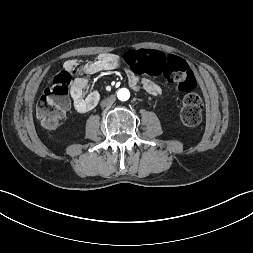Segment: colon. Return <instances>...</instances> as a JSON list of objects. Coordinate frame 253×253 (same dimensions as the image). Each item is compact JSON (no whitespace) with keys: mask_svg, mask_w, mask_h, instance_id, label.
<instances>
[{"mask_svg":"<svg viewBox=\"0 0 253 253\" xmlns=\"http://www.w3.org/2000/svg\"><path fill=\"white\" fill-rule=\"evenodd\" d=\"M123 64L129 70H134L144 76L167 78L186 92L180 118L185 126L192 127L202 119L203 101L196 88V79L187 62L176 55L169 54L161 48H132L123 57ZM72 73L61 71L56 74L36 105V114L41 124L46 128H54L69 108V88L73 81Z\"/></svg>","mask_w":253,"mask_h":253,"instance_id":"5ec220e1","label":"colon"}]
</instances>
